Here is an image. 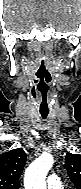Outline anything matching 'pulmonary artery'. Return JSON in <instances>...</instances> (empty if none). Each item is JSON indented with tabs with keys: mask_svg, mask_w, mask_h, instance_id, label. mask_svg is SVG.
<instances>
[{
	"mask_svg": "<svg viewBox=\"0 0 81 189\" xmlns=\"http://www.w3.org/2000/svg\"><path fill=\"white\" fill-rule=\"evenodd\" d=\"M48 189H63V184L61 179L57 175H50L47 178Z\"/></svg>",
	"mask_w": 81,
	"mask_h": 189,
	"instance_id": "e3ab8cb5",
	"label": "pulmonary artery"
}]
</instances>
